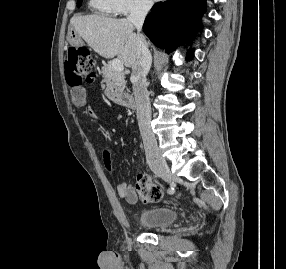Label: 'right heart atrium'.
Returning <instances> with one entry per match:
<instances>
[{"mask_svg": "<svg viewBox=\"0 0 286 269\" xmlns=\"http://www.w3.org/2000/svg\"><path fill=\"white\" fill-rule=\"evenodd\" d=\"M115 12L120 16L146 13L150 10L151 0H113Z\"/></svg>", "mask_w": 286, "mask_h": 269, "instance_id": "right-heart-atrium-1", "label": "right heart atrium"}]
</instances>
